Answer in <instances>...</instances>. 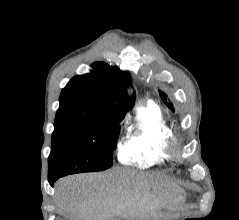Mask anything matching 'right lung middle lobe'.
<instances>
[{"mask_svg": "<svg viewBox=\"0 0 239 220\" xmlns=\"http://www.w3.org/2000/svg\"><path fill=\"white\" fill-rule=\"evenodd\" d=\"M122 119L55 120L48 178L110 168Z\"/></svg>", "mask_w": 239, "mask_h": 220, "instance_id": "obj_1", "label": "right lung middle lobe"}]
</instances>
